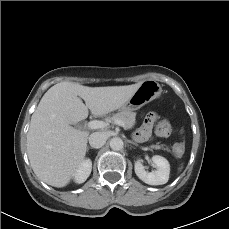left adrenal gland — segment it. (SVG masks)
<instances>
[{"mask_svg": "<svg viewBox=\"0 0 229 229\" xmlns=\"http://www.w3.org/2000/svg\"><path fill=\"white\" fill-rule=\"evenodd\" d=\"M127 142L130 143V144H133V145H135V146H138L137 143H135V142H133V141H131V140H127Z\"/></svg>", "mask_w": 229, "mask_h": 229, "instance_id": "obj_1", "label": "left adrenal gland"}]
</instances>
